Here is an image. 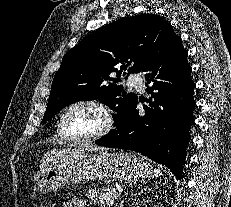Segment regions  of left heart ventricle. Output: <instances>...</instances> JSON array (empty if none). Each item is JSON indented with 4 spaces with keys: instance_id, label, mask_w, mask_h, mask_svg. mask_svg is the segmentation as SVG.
<instances>
[{
    "instance_id": "1",
    "label": "left heart ventricle",
    "mask_w": 231,
    "mask_h": 207,
    "mask_svg": "<svg viewBox=\"0 0 231 207\" xmlns=\"http://www.w3.org/2000/svg\"><path fill=\"white\" fill-rule=\"evenodd\" d=\"M103 125V116L98 109L90 105H79L73 108L66 117L68 132L74 137H85Z\"/></svg>"
}]
</instances>
